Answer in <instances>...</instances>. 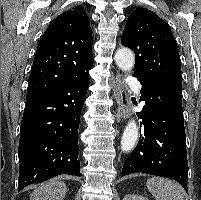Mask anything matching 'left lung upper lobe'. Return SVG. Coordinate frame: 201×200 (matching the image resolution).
<instances>
[{"instance_id": "5c2ea615", "label": "left lung upper lobe", "mask_w": 201, "mask_h": 200, "mask_svg": "<svg viewBox=\"0 0 201 200\" xmlns=\"http://www.w3.org/2000/svg\"><path fill=\"white\" fill-rule=\"evenodd\" d=\"M121 43L135 53L134 75L140 83L182 82L176 40L156 13L137 7L127 19Z\"/></svg>"}]
</instances>
